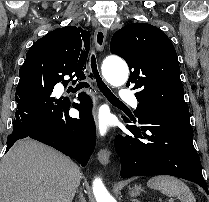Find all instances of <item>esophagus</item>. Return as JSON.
Masks as SVG:
<instances>
[{"instance_id": "esophagus-1", "label": "esophagus", "mask_w": 209, "mask_h": 202, "mask_svg": "<svg viewBox=\"0 0 209 202\" xmlns=\"http://www.w3.org/2000/svg\"><path fill=\"white\" fill-rule=\"evenodd\" d=\"M106 34H107L106 30L100 26L95 31L94 34L95 46L99 54L103 51V48L105 46ZM110 156H111L110 151L106 148H103L98 153V160L102 165L106 166L110 162Z\"/></svg>"}]
</instances>
